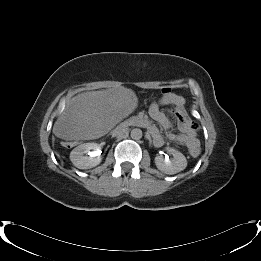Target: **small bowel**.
Instances as JSON below:
<instances>
[{
	"mask_svg": "<svg viewBox=\"0 0 261 261\" xmlns=\"http://www.w3.org/2000/svg\"><path fill=\"white\" fill-rule=\"evenodd\" d=\"M172 96H175V95L170 94L168 97H163L158 103L152 104L150 107V110H149V115H150L151 119L155 123H157L158 125L162 126L165 129H169L171 127V121H170L168 115L166 114V112L163 110L162 106H165V105L171 106L173 108V112L176 108H181L183 110V112H185L184 107H176L175 105H172L170 103V98ZM82 97H84V96H82ZM178 98H180V97H178ZM136 121L138 124L147 127V129L149 130V132L151 133V135L153 137V141H154L155 145L161 146L163 144V142H164L163 136L159 133L158 128L154 124H152L147 119L141 118V117H138L136 119ZM190 127L192 129V134L190 136H185L182 132L180 134H174L172 132H168L166 134V137L169 140L178 142L179 144L184 145L186 147H190L191 145L199 146V141L196 137V131L191 125H190Z\"/></svg>",
	"mask_w": 261,
	"mask_h": 261,
	"instance_id": "small-bowel-1",
	"label": "small bowel"
}]
</instances>
